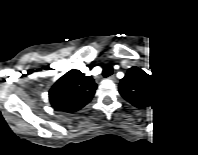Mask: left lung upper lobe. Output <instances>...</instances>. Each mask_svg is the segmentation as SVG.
I'll return each mask as SVG.
<instances>
[{
	"instance_id": "5c2ea615",
	"label": "left lung upper lobe",
	"mask_w": 198,
	"mask_h": 155,
	"mask_svg": "<svg viewBox=\"0 0 198 155\" xmlns=\"http://www.w3.org/2000/svg\"><path fill=\"white\" fill-rule=\"evenodd\" d=\"M121 95L132 105L142 108L163 100L165 87L138 67H132L119 85Z\"/></svg>"
}]
</instances>
